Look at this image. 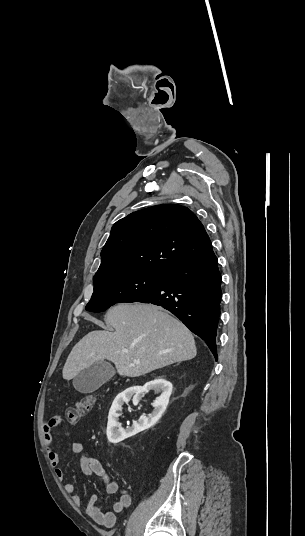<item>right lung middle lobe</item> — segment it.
Segmentation results:
<instances>
[{
	"mask_svg": "<svg viewBox=\"0 0 305 536\" xmlns=\"http://www.w3.org/2000/svg\"><path fill=\"white\" fill-rule=\"evenodd\" d=\"M164 272H130L121 277L94 280V292L86 310L102 312L116 303L136 302L149 294L165 278Z\"/></svg>",
	"mask_w": 305,
	"mask_h": 536,
	"instance_id": "dd1d6c3e",
	"label": "right lung middle lobe"
}]
</instances>
